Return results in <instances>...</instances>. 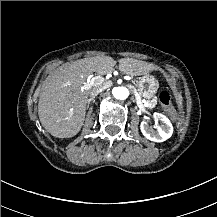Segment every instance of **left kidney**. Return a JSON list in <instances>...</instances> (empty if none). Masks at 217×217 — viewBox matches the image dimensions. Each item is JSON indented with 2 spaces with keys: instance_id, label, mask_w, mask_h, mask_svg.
Returning <instances> with one entry per match:
<instances>
[{
  "instance_id": "1",
  "label": "left kidney",
  "mask_w": 217,
  "mask_h": 217,
  "mask_svg": "<svg viewBox=\"0 0 217 217\" xmlns=\"http://www.w3.org/2000/svg\"><path fill=\"white\" fill-rule=\"evenodd\" d=\"M153 120L157 123L156 130L150 127L146 122H141L140 130L143 136L153 142H164L168 140L173 133L169 119L160 113H154Z\"/></svg>"
}]
</instances>
